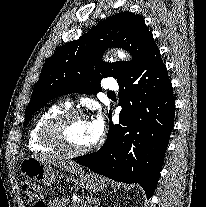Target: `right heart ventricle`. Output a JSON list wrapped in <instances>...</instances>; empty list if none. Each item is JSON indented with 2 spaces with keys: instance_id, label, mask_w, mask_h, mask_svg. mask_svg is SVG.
Masks as SVG:
<instances>
[{
  "instance_id": "e07e8e85",
  "label": "right heart ventricle",
  "mask_w": 206,
  "mask_h": 207,
  "mask_svg": "<svg viewBox=\"0 0 206 207\" xmlns=\"http://www.w3.org/2000/svg\"><path fill=\"white\" fill-rule=\"evenodd\" d=\"M69 106L67 104H53L41 112L36 118L28 135V148L33 152H48L53 149L42 143L40 139V131L44 123L54 115L67 111Z\"/></svg>"
}]
</instances>
